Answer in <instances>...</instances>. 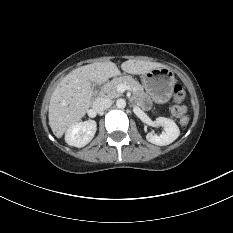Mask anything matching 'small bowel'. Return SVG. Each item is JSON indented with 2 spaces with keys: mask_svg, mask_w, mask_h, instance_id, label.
<instances>
[{
  "mask_svg": "<svg viewBox=\"0 0 233 233\" xmlns=\"http://www.w3.org/2000/svg\"><path fill=\"white\" fill-rule=\"evenodd\" d=\"M172 112L175 116H181L184 113V109L181 107H177L174 108Z\"/></svg>",
  "mask_w": 233,
  "mask_h": 233,
  "instance_id": "1",
  "label": "small bowel"
}]
</instances>
